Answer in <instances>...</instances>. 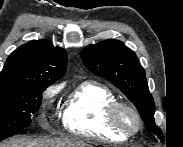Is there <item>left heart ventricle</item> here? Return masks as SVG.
<instances>
[{
    "label": "left heart ventricle",
    "instance_id": "left-heart-ventricle-1",
    "mask_svg": "<svg viewBox=\"0 0 183 147\" xmlns=\"http://www.w3.org/2000/svg\"><path fill=\"white\" fill-rule=\"evenodd\" d=\"M120 118H121V122L125 126L133 127L135 125L134 116L130 112L126 111V110L121 112Z\"/></svg>",
    "mask_w": 183,
    "mask_h": 147
}]
</instances>
